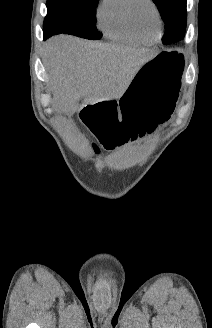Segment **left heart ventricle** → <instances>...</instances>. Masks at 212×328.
Returning <instances> with one entry per match:
<instances>
[{
	"instance_id": "b2bd125f",
	"label": "left heart ventricle",
	"mask_w": 212,
	"mask_h": 328,
	"mask_svg": "<svg viewBox=\"0 0 212 328\" xmlns=\"http://www.w3.org/2000/svg\"><path fill=\"white\" fill-rule=\"evenodd\" d=\"M136 17L142 29L148 34H155L158 28L156 15L147 3H139L136 8Z\"/></svg>"
}]
</instances>
